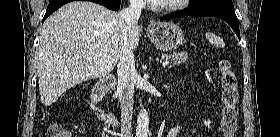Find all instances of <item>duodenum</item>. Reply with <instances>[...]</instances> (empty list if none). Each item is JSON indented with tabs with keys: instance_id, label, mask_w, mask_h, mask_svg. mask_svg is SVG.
<instances>
[{
	"instance_id": "410a0bca",
	"label": "duodenum",
	"mask_w": 280,
	"mask_h": 137,
	"mask_svg": "<svg viewBox=\"0 0 280 137\" xmlns=\"http://www.w3.org/2000/svg\"><path fill=\"white\" fill-rule=\"evenodd\" d=\"M114 86L113 77H104L95 85L91 94V104L95 118L108 127L118 128L120 120L108 112L102 105L107 92Z\"/></svg>"
}]
</instances>
